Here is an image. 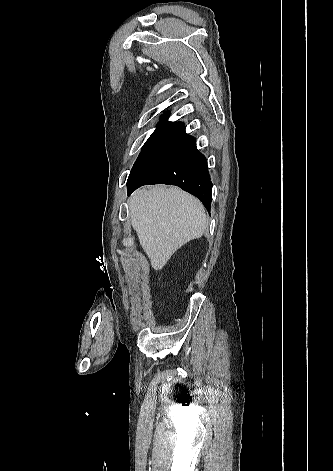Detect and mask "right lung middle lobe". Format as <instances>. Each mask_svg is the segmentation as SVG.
Masks as SVG:
<instances>
[{"label":"right lung middle lobe","instance_id":"obj_1","mask_svg":"<svg viewBox=\"0 0 333 471\" xmlns=\"http://www.w3.org/2000/svg\"><path fill=\"white\" fill-rule=\"evenodd\" d=\"M176 122H169L165 119H161L159 124L156 126V130L152 133V135L148 138L146 143L142 147L141 153L158 137L160 136L164 131L169 129L171 126H173ZM140 153V154H141ZM140 156V155H139Z\"/></svg>","mask_w":333,"mask_h":471}]
</instances>
